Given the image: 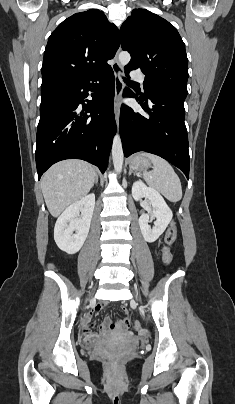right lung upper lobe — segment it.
Here are the masks:
<instances>
[{
	"label": "right lung upper lobe",
	"instance_id": "obj_1",
	"mask_svg": "<svg viewBox=\"0 0 235 404\" xmlns=\"http://www.w3.org/2000/svg\"><path fill=\"white\" fill-rule=\"evenodd\" d=\"M120 45V34L97 9L76 13L50 35L42 66V85L83 78L111 66Z\"/></svg>",
	"mask_w": 235,
	"mask_h": 404
}]
</instances>
